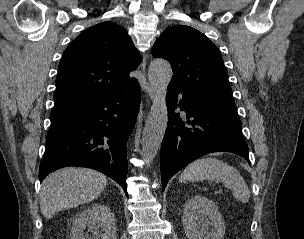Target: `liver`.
Instances as JSON below:
<instances>
[{"label":"liver","instance_id":"liver-1","mask_svg":"<svg viewBox=\"0 0 304 239\" xmlns=\"http://www.w3.org/2000/svg\"><path fill=\"white\" fill-rule=\"evenodd\" d=\"M107 178L88 168L68 167L45 178L40 194V209L47 219L55 213L96 199L104 190Z\"/></svg>","mask_w":304,"mask_h":239}]
</instances>
